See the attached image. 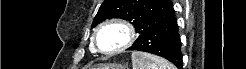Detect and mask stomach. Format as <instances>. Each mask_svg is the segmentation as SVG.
I'll list each match as a JSON object with an SVG mask.
<instances>
[{
	"instance_id": "1",
	"label": "stomach",
	"mask_w": 246,
	"mask_h": 69,
	"mask_svg": "<svg viewBox=\"0 0 246 69\" xmlns=\"http://www.w3.org/2000/svg\"><path fill=\"white\" fill-rule=\"evenodd\" d=\"M92 69H126L122 66H117V65H103V66H98Z\"/></svg>"
}]
</instances>
